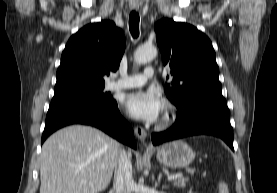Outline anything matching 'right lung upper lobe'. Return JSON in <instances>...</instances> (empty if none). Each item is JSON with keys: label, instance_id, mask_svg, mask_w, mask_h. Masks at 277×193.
Listing matches in <instances>:
<instances>
[{"label": "right lung upper lobe", "instance_id": "1", "mask_svg": "<svg viewBox=\"0 0 277 193\" xmlns=\"http://www.w3.org/2000/svg\"><path fill=\"white\" fill-rule=\"evenodd\" d=\"M125 45L123 31L112 21L84 26L68 40L62 53L55 95L105 85L103 76L118 69Z\"/></svg>", "mask_w": 277, "mask_h": 193}]
</instances>
